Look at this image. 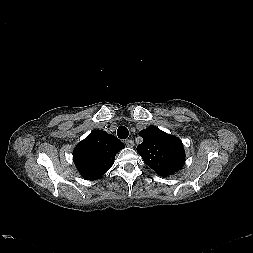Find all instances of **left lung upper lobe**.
<instances>
[{
    "label": "left lung upper lobe",
    "instance_id": "obj_1",
    "mask_svg": "<svg viewBox=\"0 0 253 253\" xmlns=\"http://www.w3.org/2000/svg\"><path fill=\"white\" fill-rule=\"evenodd\" d=\"M139 134L143 142L137 146V152L157 174L172 175L183 166L185 152L180 139L155 126H149Z\"/></svg>",
    "mask_w": 253,
    "mask_h": 253
}]
</instances>
